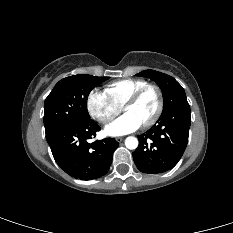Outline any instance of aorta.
<instances>
[{
    "label": "aorta",
    "mask_w": 233,
    "mask_h": 233,
    "mask_svg": "<svg viewBox=\"0 0 233 233\" xmlns=\"http://www.w3.org/2000/svg\"><path fill=\"white\" fill-rule=\"evenodd\" d=\"M125 146L126 148L133 150L138 147V139L133 136H129L125 139Z\"/></svg>",
    "instance_id": "obj_1"
}]
</instances>
